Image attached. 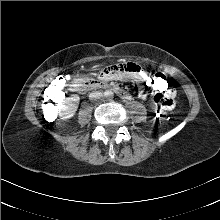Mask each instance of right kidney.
Listing matches in <instances>:
<instances>
[{
    "label": "right kidney",
    "mask_w": 220,
    "mask_h": 220,
    "mask_svg": "<svg viewBox=\"0 0 220 220\" xmlns=\"http://www.w3.org/2000/svg\"><path fill=\"white\" fill-rule=\"evenodd\" d=\"M79 103V96L73 95L67 98L61 105L59 113L63 120H67L74 116Z\"/></svg>",
    "instance_id": "right-kidney-1"
}]
</instances>
